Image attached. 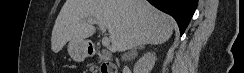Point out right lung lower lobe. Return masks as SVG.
Instances as JSON below:
<instances>
[{"mask_svg":"<svg viewBox=\"0 0 244 73\" xmlns=\"http://www.w3.org/2000/svg\"><path fill=\"white\" fill-rule=\"evenodd\" d=\"M177 21L182 35L197 7L198 0H147Z\"/></svg>","mask_w":244,"mask_h":73,"instance_id":"obj_1","label":"right lung lower lobe"}]
</instances>
